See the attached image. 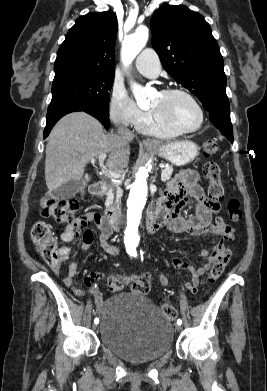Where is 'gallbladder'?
I'll use <instances>...</instances> for the list:
<instances>
[{
    "mask_svg": "<svg viewBox=\"0 0 267 391\" xmlns=\"http://www.w3.org/2000/svg\"><path fill=\"white\" fill-rule=\"evenodd\" d=\"M84 187V180H70L57 188L51 195L55 199L67 200L74 197Z\"/></svg>",
    "mask_w": 267,
    "mask_h": 391,
    "instance_id": "bac80fb5",
    "label": "gallbladder"
}]
</instances>
